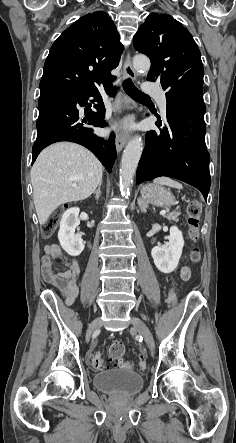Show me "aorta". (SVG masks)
<instances>
[{
	"instance_id": "762f6f07",
	"label": "aorta",
	"mask_w": 236,
	"mask_h": 443,
	"mask_svg": "<svg viewBox=\"0 0 236 443\" xmlns=\"http://www.w3.org/2000/svg\"><path fill=\"white\" fill-rule=\"evenodd\" d=\"M133 67L138 73H147L150 69V60L144 55L133 58ZM142 138L133 137L127 144L120 164V188L126 197L130 194V187L142 154Z\"/></svg>"
}]
</instances>
